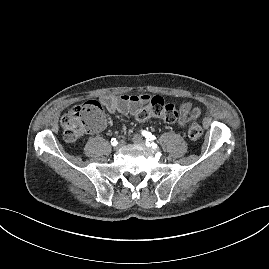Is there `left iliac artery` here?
<instances>
[{
  "instance_id": "left-iliac-artery-1",
  "label": "left iliac artery",
  "mask_w": 269,
  "mask_h": 269,
  "mask_svg": "<svg viewBox=\"0 0 269 269\" xmlns=\"http://www.w3.org/2000/svg\"><path fill=\"white\" fill-rule=\"evenodd\" d=\"M142 135L147 139H151V140L156 139V137L152 133H150V132H148L146 130L142 131Z\"/></svg>"
}]
</instances>
